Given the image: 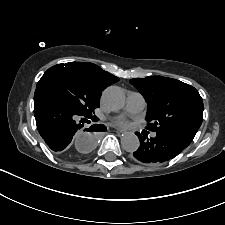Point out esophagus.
I'll return each instance as SVG.
<instances>
[{"mask_svg":"<svg viewBox=\"0 0 225 225\" xmlns=\"http://www.w3.org/2000/svg\"><path fill=\"white\" fill-rule=\"evenodd\" d=\"M116 132H117L118 134H122V133H124V131H123V130H121V129H117V130H116Z\"/></svg>","mask_w":225,"mask_h":225,"instance_id":"obj_1","label":"esophagus"}]
</instances>
